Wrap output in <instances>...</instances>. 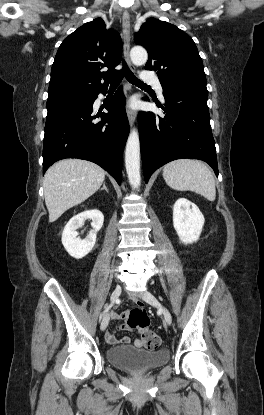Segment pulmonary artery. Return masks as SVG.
<instances>
[{"label":"pulmonary artery","instance_id":"obj_1","mask_svg":"<svg viewBox=\"0 0 264 415\" xmlns=\"http://www.w3.org/2000/svg\"><path fill=\"white\" fill-rule=\"evenodd\" d=\"M141 78H142V81H144V83L153 84L155 86V88H156V91H157L158 95L161 98H163V89H162V86H161L159 80L155 76H153L151 74H148V73H143L141 75Z\"/></svg>","mask_w":264,"mask_h":415}]
</instances>
